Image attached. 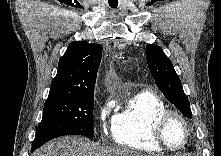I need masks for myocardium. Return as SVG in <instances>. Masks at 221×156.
I'll return each mask as SVG.
<instances>
[{
  "label": "myocardium",
  "instance_id": "myocardium-1",
  "mask_svg": "<svg viewBox=\"0 0 221 156\" xmlns=\"http://www.w3.org/2000/svg\"><path fill=\"white\" fill-rule=\"evenodd\" d=\"M171 117H177L181 120V122L183 123L185 127V133H186L185 140L182 143V145L179 147H175V148L169 146L166 143L165 138H164V129H165L166 123ZM152 135H153L154 141L162 149L170 151V152H178V151L183 150L187 146L190 140V136H191V128H190L189 121L182 113L176 110L167 109L156 118L154 125H153Z\"/></svg>",
  "mask_w": 221,
  "mask_h": 156
}]
</instances>
